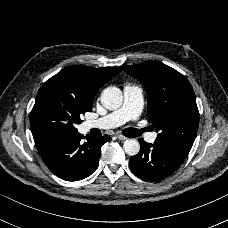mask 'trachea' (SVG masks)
Listing matches in <instances>:
<instances>
[{
	"label": "trachea",
	"mask_w": 228,
	"mask_h": 228,
	"mask_svg": "<svg viewBox=\"0 0 228 228\" xmlns=\"http://www.w3.org/2000/svg\"><path fill=\"white\" fill-rule=\"evenodd\" d=\"M145 131H147V128H142L141 130L136 128H125L122 133L126 137H138Z\"/></svg>",
	"instance_id": "3493384b"
}]
</instances>
